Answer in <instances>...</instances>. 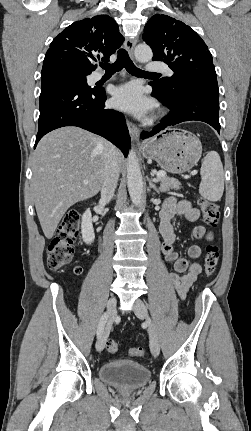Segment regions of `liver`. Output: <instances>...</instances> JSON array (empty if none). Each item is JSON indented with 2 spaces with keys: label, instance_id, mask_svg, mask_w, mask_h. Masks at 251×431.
I'll list each match as a JSON object with an SVG mask.
<instances>
[{
  "label": "liver",
  "instance_id": "obj_1",
  "mask_svg": "<svg viewBox=\"0 0 251 431\" xmlns=\"http://www.w3.org/2000/svg\"><path fill=\"white\" fill-rule=\"evenodd\" d=\"M110 145L104 138L78 127L56 129L38 143L32 161L31 189L47 239L53 237L71 206L101 190ZM116 159L121 169L123 156L118 149Z\"/></svg>",
  "mask_w": 251,
  "mask_h": 431
}]
</instances>
